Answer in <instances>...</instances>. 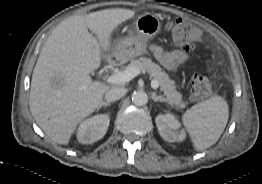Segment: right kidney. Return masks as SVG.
<instances>
[{"label":"right kidney","mask_w":262,"mask_h":184,"mask_svg":"<svg viewBox=\"0 0 262 184\" xmlns=\"http://www.w3.org/2000/svg\"><path fill=\"white\" fill-rule=\"evenodd\" d=\"M109 122L107 114L95 115L84 120L76 133L78 141L82 144H91L100 140L105 135Z\"/></svg>","instance_id":"right-kidney-1"}]
</instances>
